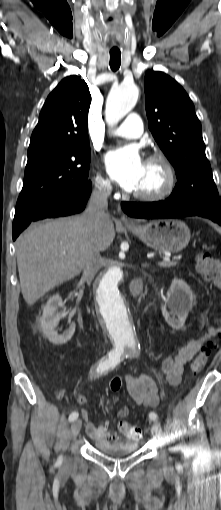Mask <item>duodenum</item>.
Here are the masks:
<instances>
[{
  "instance_id": "duodenum-1",
  "label": "duodenum",
  "mask_w": 221,
  "mask_h": 510,
  "mask_svg": "<svg viewBox=\"0 0 221 510\" xmlns=\"http://www.w3.org/2000/svg\"><path fill=\"white\" fill-rule=\"evenodd\" d=\"M142 292V280L140 278L135 279L131 284V293L134 296L140 295Z\"/></svg>"
}]
</instances>
